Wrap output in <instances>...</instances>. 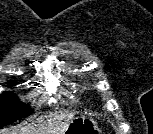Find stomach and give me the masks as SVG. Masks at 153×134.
<instances>
[{"label": "stomach", "mask_w": 153, "mask_h": 134, "mask_svg": "<svg viewBox=\"0 0 153 134\" xmlns=\"http://www.w3.org/2000/svg\"><path fill=\"white\" fill-rule=\"evenodd\" d=\"M100 131L94 120L78 116L73 118L63 134H99Z\"/></svg>", "instance_id": "stomach-1"}]
</instances>
